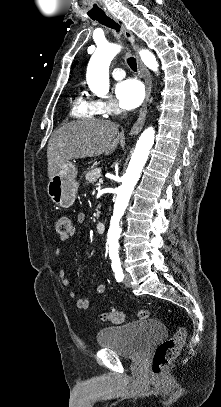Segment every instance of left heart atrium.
Segmentation results:
<instances>
[{"mask_svg": "<svg viewBox=\"0 0 221 407\" xmlns=\"http://www.w3.org/2000/svg\"><path fill=\"white\" fill-rule=\"evenodd\" d=\"M115 94L125 109H134L142 103L145 88L139 80L129 78L116 85Z\"/></svg>", "mask_w": 221, "mask_h": 407, "instance_id": "obj_1", "label": "left heart atrium"}]
</instances>
